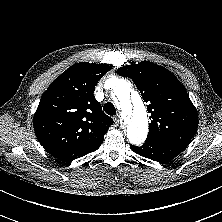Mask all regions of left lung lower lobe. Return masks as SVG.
I'll return each mask as SVG.
<instances>
[{
  "mask_svg": "<svg viewBox=\"0 0 222 222\" xmlns=\"http://www.w3.org/2000/svg\"><path fill=\"white\" fill-rule=\"evenodd\" d=\"M189 143L167 140H146L143 146L130 145L133 152L151 160L165 163L179 155Z\"/></svg>",
  "mask_w": 222,
  "mask_h": 222,
  "instance_id": "obj_1",
  "label": "left lung lower lobe"
}]
</instances>
